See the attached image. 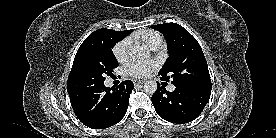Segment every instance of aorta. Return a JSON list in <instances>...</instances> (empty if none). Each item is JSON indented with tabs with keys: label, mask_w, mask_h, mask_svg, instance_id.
Segmentation results:
<instances>
[{
	"label": "aorta",
	"mask_w": 276,
	"mask_h": 138,
	"mask_svg": "<svg viewBox=\"0 0 276 138\" xmlns=\"http://www.w3.org/2000/svg\"><path fill=\"white\" fill-rule=\"evenodd\" d=\"M147 56V53L138 47H133L129 52V57L133 61H141ZM144 90L147 93L153 94L157 90V83L154 80H148L144 83Z\"/></svg>",
	"instance_id": "aorta-1"
}]
</instances>
